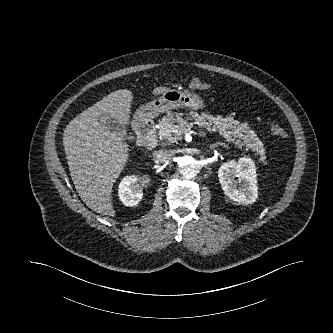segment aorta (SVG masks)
I'll list each match as a JSON object with an SVG mask.
<instances>
[{"label":"aorta","mask_w":333,"mask_h":333,"mask_svg":"<svg viewBox=\"0 0 333 333\" xmlns=\"http://www.w3.org/2000/svg\"><path fill=\"white\" fill-rule=\"evenodd\" d=\"M177 167L179 173L186 179L194 178L198 173L197 161L190 155H180Z\"/></svg>","instance_id":"obj_1"}]
</instances>
